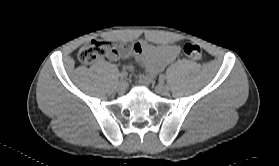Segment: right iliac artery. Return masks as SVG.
Listing matches in <instances>:
<instances>
[{
  "label": "right iliac artery",
  "mask_w": 279,
  "mask_h": 166,
  "mask_svg": "<svg viewBox=\"0 0 279 166\" xmlns=\"http://www.w3.org/2000/svg\"><path fill=\"white\" fill-rule=\"evenodd\" d=\"M127 75H128L127 72L123 71V72L120 73L119 76H120V79L123 80V79L127 78Z\"/></svg>",
  "instance_id": "1"
}]
</instances>
